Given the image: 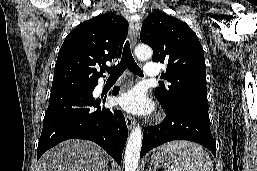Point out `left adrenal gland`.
Listing matches in <instances>:
<instances>
[{
	"label": "left adrenal gland",
	"instance_id": "a2214340",
	"mask_svg": "<svg viewBox=\"0 0 257 171\" xmlns=\"http://www.w3.org/2000/svg\"><path fill=\"white\" fill-rule=\"evenodd\" d=\"M146 171H156L155 168H152V164L149 165V168Z\"/></svg>",
	"mask_w": 257,
	"mask_h": 171
}]
</instances>
